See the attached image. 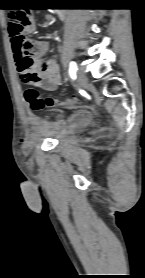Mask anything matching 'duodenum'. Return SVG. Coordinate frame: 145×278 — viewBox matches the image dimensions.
<instances>
[{
    "label": "duodenum",
    "mask_w": 145,
    "mask_h": 278,
    "mask_svg": "<svg viewBox=\"0 0 145 278\" xmlns=\"http://www.w3.org/2000/svg\"><path fill=\"white\" fill-rule=\"evenodd\" d=\"M64 16H65V13H64L63 10H59V11L57 12V17H58V19L62 20V19H64Z\"/></svg>",
    "instance_id": "410a0bca"
}]
</instances>
